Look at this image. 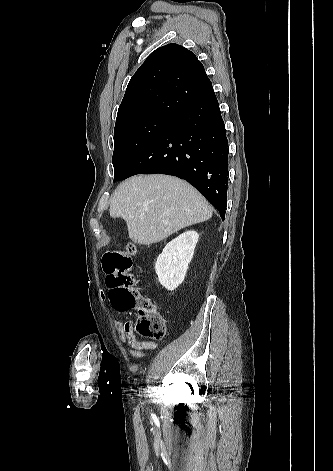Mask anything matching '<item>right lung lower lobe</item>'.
I'll use <instances>...</instances> for the list:
<instances>
[{
  "label": "right lung lower lobe",
  "mask_w": 333,
  "mask_h": 471,
  "mask_svg": "<svg viewBox=\"0 0 333 471\" xmlns=\"http://www.w3.org/2000/svg\"><path fill=\"white\" fill-rule=\"evenodd\" d=\"M185 179L225 217L228 143L213 88L174 118L135 158L118 180L136 174Z\"/></svg>",
  "instance_id": "98d812e1"
}]
</instances>
